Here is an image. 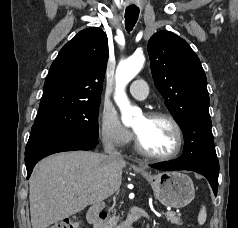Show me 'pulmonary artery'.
<instances>
[{"mask_svg": "<svg viewBox=\"0 0 238 228\" xmlns=\"http://www.w3.org/2000/svg\"><path fill=\"white\" fill-rule=\"evenodd\" d=\"M129 92L134 98L144 100L147 97L146 82L142 79L133 81L129 87Z\"/></svg>", "mask_w": 238, "mask_h": 228, "instance_id": "obj_1", "label": "pulmonary artery"}]
</instances>
